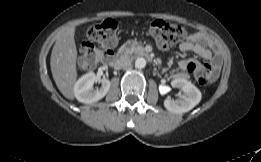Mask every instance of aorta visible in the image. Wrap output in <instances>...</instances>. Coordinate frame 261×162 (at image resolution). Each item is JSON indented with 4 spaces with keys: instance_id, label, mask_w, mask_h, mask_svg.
<instances>
[{
    "instance_id": "obj_1",
    "label": "aorta",
    "mask_w": 261,
    "mask_h": 162,
    "mask_svg": "<svg viewBox=\"0 0 261 162\" xmlns=\"http://www.w3.org/2000/svg\"><path fill=\"white\" fill-rule=\"evenodd\" d=\"M146 66V60L142 57L140 58H137L135 60V67L138 68V69H142Z\"/></svg>"
}]
</instances>
